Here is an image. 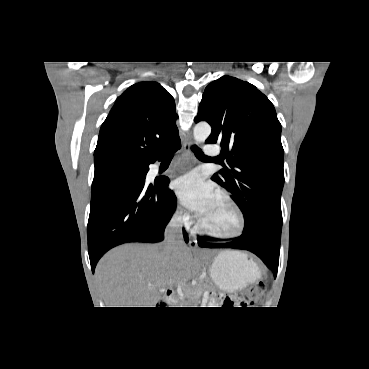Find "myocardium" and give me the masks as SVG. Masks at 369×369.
Listing matches in <instances>:
<instances>
[{"label":"myocardium","mask_w":369,"mask_h":369,"mask_svg":"<svg viewBox=\"0 0 369 369\" xmlns=\"http://www.w3.org/2000/svg\"><path fill=\"white\" fill-rule=\"evenodd\" d=\"M217 196L220 197L222 200H224L234 210L237 216V227L235 231L230 234H221V233L215 232L211 230L210 228H208L207 226H205L203 222L201 221V219H199L198 221V225H197L198 229L201 232L213 238L222 239V240L236 239L240 237L244 233V230H245L246 221H245L244 212L242 211L241 207L237 204V202L228 193L224 191H219L217 193Z\"/></svg>","instance_id":"myocardium-1"}]
</instances>
